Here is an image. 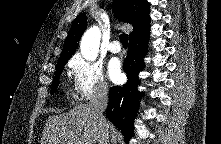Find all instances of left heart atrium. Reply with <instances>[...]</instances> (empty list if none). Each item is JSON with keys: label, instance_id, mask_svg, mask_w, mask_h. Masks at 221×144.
Wrapping results in <instances>:
<instances>
[{"label": "left heart atrium", "instance_id": "obj_1", "mask_svg": "<svg viewBox=\"0 0 221 144\" xmlns=\"http://www.w3.org/2000/svg\"><path fill=\"white\" fill-rule=\"evenodd\" d=\"M108 72L112 81L119 82L122 78L120 62L117 60H112L109 63Z\"/></svg>", "mask_w": 221, "mask_h": 144}]
</instances>
